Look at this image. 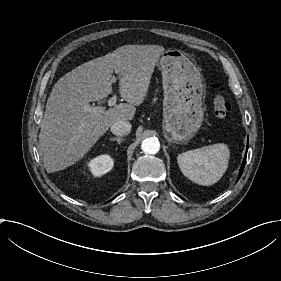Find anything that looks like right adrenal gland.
Returning a JSON list of instances; mask_svg holds the SVG:
<instances>
[{
    "mask_svg": "<svg viewBox=\"0 0 281 281\" xmlns=\"http://www.w3.org/2000/svg\"><path fill=\"white\" fill-rule=\"evenodd\" d=\"M111 140H115L118 144H121L125 139L120 137H112Z\"/></svg>",
    "mask_w": 281,
    "mask_h": 281,
    "instance_id": "obj_1",
    "label": "right adrenal gland"
}]
</instances>
